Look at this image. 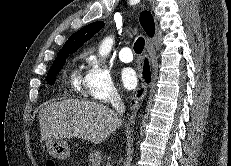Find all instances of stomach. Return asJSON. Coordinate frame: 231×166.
Returning a JSON list of instances; mask_svg holds the SVG:
<instances>
[{
	"instance_id": "0dacf381",
	"label": "stomach",
	"mask_w": 231,
	"mask_h": 166,
	"mask_svg": "<svg viewBox=\"0 0 231 166\" xmlns=\"http://www.w3.org/2000/svg\"><path fill=\"white\" fill-rule=\"evenodd\" d=\"M46 147L51 156L56 159H66L70 156V146L65 139H50Z\"/></svg>"
}]
</instances>
